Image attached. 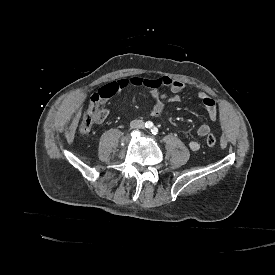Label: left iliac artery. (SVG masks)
<instances>
[{"label":"left iliac artery","mask_w":275,"mask_h":275,"mask_svg":"<svg viewBox=\"0 0 275 275\" xmlns=\"http://www.w3.org/2000/svg\"><path fill=\"white\" fill-rule=\"evenodd\" d=\"M151 132H152V134L156 135L158 133V128L157 127H153L151 129Z\"/></svg>","instance_id":"left-iliac-artery-1"}]
</instances>
